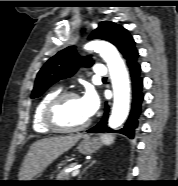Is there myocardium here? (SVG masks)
I'll return each instance as SVG.
<instances>
[{"label": "myocardium", "instance_id": "myocardium-1", "mask_svg": "<svg viewBox=\"0 0 178 186\" xmlns=\"http://www.w3.org/2000/svg\"><path fill=\"white\" fill-rule=\"evenodd\" d=\"M71 98H80V96L76 92H62L53 97L46 104L42 113V121L49 130L58 133H73L82 131L90 125V118H88L83 124L76 127H63L56 121L55 115L58 107L63 102Z\"/></svg>", "mask_w": 178, "mask_h": 186}]
</instances>
